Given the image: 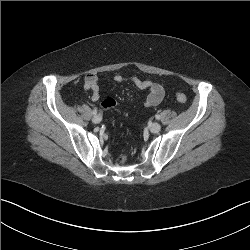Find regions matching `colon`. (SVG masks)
<instances>
[{
  "mask_svg": "<svg viewBox=\"0 0 250 250\" xmlns=\"http://www.w3.org/2000/svg\"><path fill=\"white\" fill-rule=\"evenodd\" d=\"M176 98L179 102L181 103H185L187 101V97L184 93L182 92H178L176 94ZM116 105V102L115 100L111 99V98H108V99H105L103 102H102V106L104 108H111V107H114ZM117 110L119 109L118 107L116 108ZM126 159V155H120L118 160L120 162H123L124 160Z\"/></svg>",
  "mask_w": 250,
  "mask_h": 250,
  "instance_id": "colon-1",
  "label": "colon"
}]
</instances>
